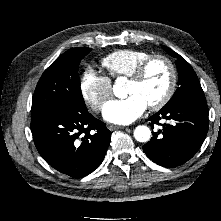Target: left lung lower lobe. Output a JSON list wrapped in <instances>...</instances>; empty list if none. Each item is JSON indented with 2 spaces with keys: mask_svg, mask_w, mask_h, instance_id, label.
Wrapping results in <instances>:
<instances>
[{
  "mask_svg": "<svg viewBox=\"0 0 221 221\" xmlns=\"http://www.w3.org/2000/svg\"><path fill=\"white\" fill-rule=\"evenodd\" d=\"M161 119L170 120L160 124ZM150 125H162L143 146L145 154L157 164L172 168L191 159L201 147L208 132V106L206 102H185L161 109L149 118Z\"/></svg>",
  "mask_w": 221,
  "mask_h": 221,
  "instance_id": "left-lung-lower-lobe-1",
  "label": "left lung lower lobe"
}]
</instances>
